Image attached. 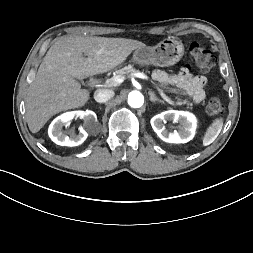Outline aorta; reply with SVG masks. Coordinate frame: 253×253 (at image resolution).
Segmentation results:
<instances>
[{
  "mask_svg": "<svg viewBox=\"0 0 253 253\" xmlns=\"http://www.w3.org/2000/svg\"><path fill=\"white\" fill-rule=\"evenodd\" d=\"M144 103V97L139 91H132L128 95V104L133 108H140Z\"/></svg>",
  "mask_w": 253,
  "mask_h": 253,
  "instance_id": "obj_1",
  "label": "aorta"
}]
</instances>
